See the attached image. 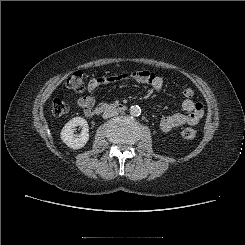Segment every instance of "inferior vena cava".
<instances>
[{
  "label": "inferior vena cava",
  "instance_id": "obj_1",
  "mask_svg": "<svg viewBox=\"0 0 245 245\" xmlns=\"http://www.w3.org/2000/svg\"><path fill=\"white\" fill-rule=\"evenodd\" d=\"M116 115H118V111L117 110H106L103 113L102 117L104 119H106V118H110V117H113V116H116Z\"/></svg>",
  "mask_w": 245,
  "mask_h": 245
}]
</instances>
